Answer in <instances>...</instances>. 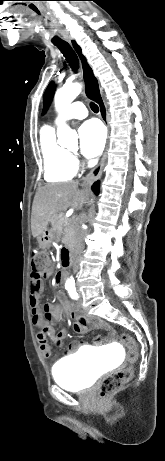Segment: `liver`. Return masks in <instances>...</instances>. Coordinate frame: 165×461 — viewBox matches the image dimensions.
<instances>
[{
  "mask_svg": "<svg viewBox=\"0 0 165 461\" xmlns=\"http://www.w3.org/2000/svg\"><path fill=\"white\" fill-rule=\"evenodd\" d=\"M89 196L90 190L88 188L78 189V182L74 181L47 184L39 188L32 205L31 231L33 237L38 239L58 213L68 208L81 209Z\"/></svg>",
  "mask_w": 165,
  "mask_h": 461,
  "instance_id": "obj_1",
  "label": "liver"
}]
</instances>
